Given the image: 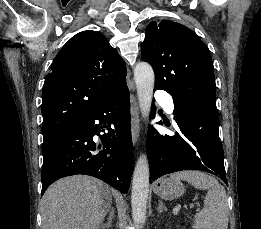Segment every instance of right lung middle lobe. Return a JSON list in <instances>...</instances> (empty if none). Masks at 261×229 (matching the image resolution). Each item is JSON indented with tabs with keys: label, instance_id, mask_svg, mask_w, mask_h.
I'll use <instances>...</instances> for the list:
<instances>
[{
	"label": "right lung middle lobe",
	"instance_id": "1",
	"mask_svg": "<svg viewBox=\"0 0 261 229\" xmlns=\"http://www.w3.org/2000/svg\"><path fill=\"white\" fill-rule=\"evenodd\" d=\"M60 133L61 132L57 131V130H42V134H43V137H44V142H47V141L51 140L52 138H54L55 136H57Z\"/></svg>",
	"mask_w": 261,
	"mask_h": 229
}]
</instances>
